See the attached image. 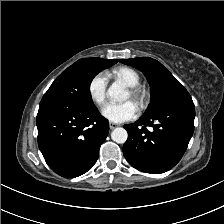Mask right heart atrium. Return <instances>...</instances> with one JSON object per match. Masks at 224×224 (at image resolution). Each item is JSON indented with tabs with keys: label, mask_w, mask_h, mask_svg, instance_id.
I'll list each match as a JSON object with an SVG mask.
<instances>
[{
	"label": "right heart atrium",
	"mask_w": 224,
	"mask_h": 224,
	"mask_svg": "<svg viewBox=\"0 0 224 224\" xmlns=\"http://www.w3.org/2000/svg\"><path fill=\"white\" fill-rule=\"evenodd\" d=\"M108 79L102 72L95 74L88 84L90 99L97 106H102L106 101Z\"/></svg>",
	"instance_id": "right-heart-atrium-1"
}]
</instances>
